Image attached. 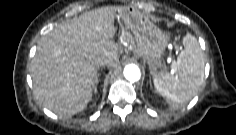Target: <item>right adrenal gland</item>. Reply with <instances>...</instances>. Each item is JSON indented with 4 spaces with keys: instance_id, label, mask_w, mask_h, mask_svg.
Segmentation results:
<instances>
[{
    "instance_id": "obj_1",
    "label": "right adrenal gland",
    "mask_w": 236,
    "mask_h": 135,
    "mask_svg": "<svg viewBox=\"0 0 236 135\" xmlns=\"http://www.w3.org/2000/svg\"><path fill=\"white\" fill-rule=\"evenodd\" d=\"M99 83V80H98V77H96V80H95V86H94V93L96 94L97 93V85Z\"/></svg>"
}]
</instances>
